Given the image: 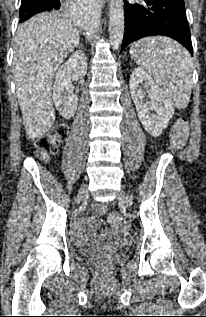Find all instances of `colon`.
Returning a JSON list of instances; mask_svg holds the SVG:
<instances>
[{"label":"colon","mask_w":206,"mask_h":317,"mask_svg":"<svg viewBox=\"0 0 206 317\" xmlns=\"http://www.w3.org/2000/svg\"><path fill=\"white\" fill-rule=\"evenodd\" d=\"M68 133V128L64 124L56 125L45 136L35 141V147L40 156L49 158L55 155L58 151V146L65 140ZM188 137V124L186 119H179L174 125L170 140L175 149H181L186 144ZM94 210L97 214L103 215L106 213L107 208L104 204L98 203L94 205ZM109 222L122 231L129 232V227L125 220L117 213L109 216ZM107 269V265L102 266Z\"/></svg>","instance_id":"5ec220e1"}]
</instances>
